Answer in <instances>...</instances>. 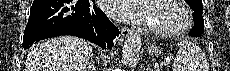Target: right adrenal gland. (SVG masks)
I'll return each mask as SVG.
<instances>
[{"mask_svg": "<svg viewBox=\"0 0 230 71\" xmlns=\"http://www.w3.org/2000/svg\"><path fill=\"white\" fill-rule=\"evenodd\" d=\"M84 71H96L95 60L93 55H91V61L88 66L84 69Z\"/></svg>", "mask_w": 230, "mask_h": 71, "instance_id": "1", "label": "right adrenal gland"}]
</instances>
